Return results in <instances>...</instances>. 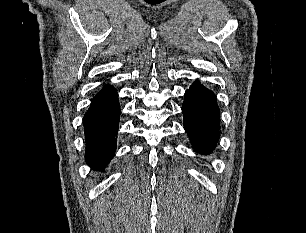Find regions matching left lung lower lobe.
<instances>
[{
  "mask_svg": "<svg viewBox=\"0 0 306 233\" xmlns=\"http://www.w3.org/2000/svg\"><path fill=\"white\" fill-rule=\"evenodd\" d=\"M184 128L196 152L213 151L220 136L219 107L214 93L195 82L185 92Z\"/></svg>",
  "mask_w": 306,
  "mask_h": 233,
  "instance_id": "obj_1",
  "label": "left lung lower lobe"
}]
</instances>
